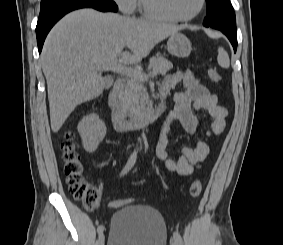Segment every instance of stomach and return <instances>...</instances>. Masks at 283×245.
<instances>
[{"instance_id":"1","label":"stomach","mask_w":283,"mask_h":245,"mask_svg":"<svg viewBox=\"0 0 283 245\" xmlns=\"http://www.w3.org/2000/svg\"><path fill=\"white\" fill-rule=\"evenodd\" d=\"M167 49L170 54L184 58L190 55L192 45L190 40L184 34L177 31L170 35L167 41Z\"/></svg>"}]
</instances>
